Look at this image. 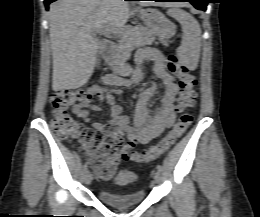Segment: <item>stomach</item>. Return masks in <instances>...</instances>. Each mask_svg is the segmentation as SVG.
<instances>
[{
	"mask_svg": "<svg viewBox=\"0 0 260 217\" xmlns=\"http://www.w3.org/2000/svg\"><path fill=\"white\" fill-rule=\"evenodd\" d=\"M140 16L152 33L159 38L169 39L175 34V25L157 9H142L140 10ZM131 70V67L124 63H120L116 67V73L122 76L129 75Z\"/></svg>",
	"mask_w": 260,
	"mask_h": 217,
	"instance_id": "0dacf381",
	"label": "stomach"
}]
</instances>
